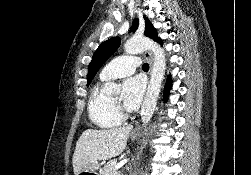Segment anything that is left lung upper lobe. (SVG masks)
Here are the masks:
<instances>
[{
    "mask_svg": "<svg viewBox=\"0 0 251 175\" xmlns=\"http://www.w3.org/2000/svg\"><path fill=\"white\" fill-rule=\"evenodd\" d=\"M145 19V36L150 37L154 40H158L157 31L152 26L150 21L144 17ZM138 27V19H135L133 21V25L131 28V31H135ZM120 38L119 37H113L109 40L101 43L97 50L95 51L92 61L88 66V74H87V85H89L96 75L97 71L102 67L103 63L107 61V59L117 50V48L120 45Z\"/></svg>",
    "mask_w": 251,
    "mask_h": 175,
    "instance_id": "left-lung-upper-lobe-1",
    "label": "left lung upper lobe"
}]
</instances>
